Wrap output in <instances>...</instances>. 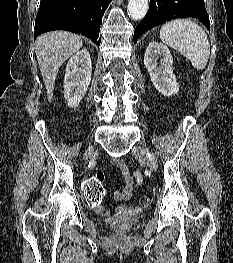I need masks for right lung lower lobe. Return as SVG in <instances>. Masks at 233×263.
I'll return each mask as SVG.
<instances>
[{
	"instance_id": "obj_1",
	"label": "right lung lower lobe",
	"mask_w": 233,
	"mask_h": 263,
	"mask_svg": "<svg viewBox=\"0 0 233 263\" xmlns=\"http://www.w3.org/2000/svg\"><path fill=\"white\" fill-rule=\"evenodd\" d=\"M111 0H41L35 20V39L52 30H67L100 45L102 17Z\"/></svg>"
}]
</instances>
